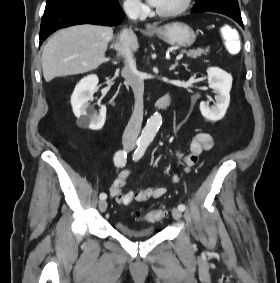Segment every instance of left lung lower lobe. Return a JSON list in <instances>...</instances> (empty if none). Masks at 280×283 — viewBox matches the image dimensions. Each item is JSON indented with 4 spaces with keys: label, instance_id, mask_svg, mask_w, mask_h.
<instances>
[{
    "label": "left lung lower lobe",
    "instance_id": "0a47b994",
    "mask_svg": "<svg viewBox=\"0 0 280 283\" xmlns=\"http://www.w3.org/2000/svg\"><path fill=\"white\" fill-rule=\"evenodd\" d=\"M197 12H206V10H192V13H197ZM230 18L235 20L240 26H242L244 28L242 18H237V17H230Z\"/></svg>",
    "mask_w": 280,
    "mask_h": 283
}]
</instances>
